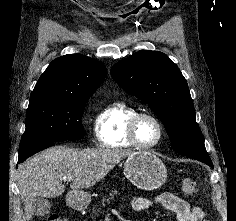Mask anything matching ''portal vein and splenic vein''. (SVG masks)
I'll return each instance as SVG.
<instances>
[{
	"instance_id": "obj_1",
	"label": "portal vein and splenic vein",
	"mask_w": 236,
	"mask_h": 221,
	"mask_svg": "<svg viewBox=\"0 0 236 221\" xmlns=\"http://www.w3.org/2000/svg\"><path fill=\"white\" fill-rule=\"evenodd\" d=\"M65 181H72L73 178L72 177H68V178H64Z\"/></svg>"
}]
</instances>
